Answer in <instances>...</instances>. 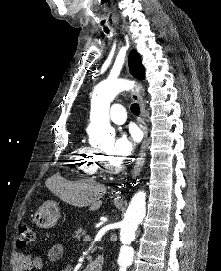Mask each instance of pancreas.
Here are the masks:
<instances>
[{
  "instance_id": "cf45deb5",
  "label": "pancreas",
  "mask_w": 221,
  "mask_h": 271,
  "mask_svg": "<svg viewBox=\"0 0 221 271\" xmlns=\"http://www.w3.org/2000/svg\"><path fill=\"white\" fill-rule=\"evenodd\" d=\"M81 235H86L85 229H78V231H75L73 237H71V242H82V237ZM87 237H85L84 241H86Z\"/></svg>"
}]
</instances>
